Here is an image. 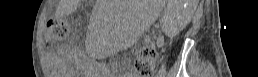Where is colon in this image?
Masks as SVG:
<instances>
[{"label": "colon", "instance_id": "5ec220e1", "mask_svg": "<svg viewBox=\"0 0 258 77\" xmlns=\"http://www.w3.org/2000/svg\"><path fill=\"white\" fill-rule=\"evenodd\" d=\"M47 27L50 29L51 38L53 40L63 39L69 29L68 24H64L58 20L49 22ZM156 58L157 52L154 48L151 47L142 48L137 52L135 66L141 76L149 77L152 75L156 63Z\"/></svg>", "mask_w": 258, "mask_h": 77}]
</instances>
